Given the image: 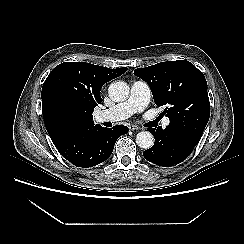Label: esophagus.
<instances>
[{
    "label": "esophagus",
    "mask_w": 244,
    "mask_h": 244,
    "mask_svg": "<svg viewBox=\"0 0 244 244\" xmlns=\"http://www.w3.org/2000/svg\"><path fill=\"white\" fill-rule=\"evenodd\" d=\"M140 128L137 125H129V130L134 131V130H139Z\"/></svg>",
    "instance_id": "1"
}]
</instances>
